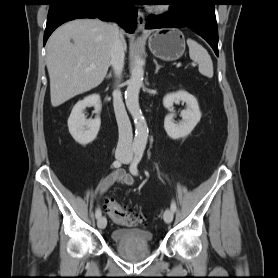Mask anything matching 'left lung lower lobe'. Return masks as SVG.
<instances>
[{
    "instance_id": "1",
    "label": "left lung lower lobe",
    "mask_w": 278,
    "mask_h": 278,
    "mask_svg": "<svg viewBox=\"0 0 278 278\" xmlns=\"http://www.w3.org/2000/svg\"><path fill=\"white\" fill-rule=\"evenodd\" d=\"M170 10L150 15L146 27H186L203 37L218 56V29L215 17L216 0H167Z\"/></svg>"
}]
</instances>
